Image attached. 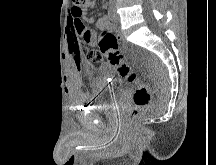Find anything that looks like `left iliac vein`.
Here are the masks:
<instances>
[{
    "label": "left iliac vein",
    "instance_id": "obj_1",
    "mask_svg": "<svg viewBox=\"0 0 216 165\" xmlns=\"http://www.w3.org/2000/svg\"><path fill=\"white\" fill-rule=\"evenodd\" d=\"M114 19H115V21H118V20H119V17H118L117 14L114 15Z\"/></svg>",
    "mask_w": 216,
    "mask_h": 165
}]
</instances>
